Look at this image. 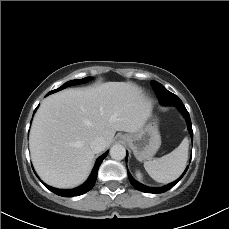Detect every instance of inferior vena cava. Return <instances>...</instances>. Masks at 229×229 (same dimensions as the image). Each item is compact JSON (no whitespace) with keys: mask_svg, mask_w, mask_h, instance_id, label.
<instances>
[{"mask_svg":"<svg viewBox=\"0 0 229 229\" xmlns=\"http://www.w3.org/2000/svg\"><path fill=\"white\" fill-rule=\"evenodd\" d=\"M91 149L95 153H99L105 149V140L103 137H96L91 143H90Z\"/></svg>","mask_w":229,"mask_h":229,"instance_id":"602c4592","label":"inferior vena cava"}]
</instances>
